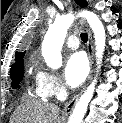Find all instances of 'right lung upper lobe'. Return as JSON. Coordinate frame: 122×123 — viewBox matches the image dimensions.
Instances as JSON below:
<instances>
[{
	"label": "right lung upper lobe",
	"instance_id": "cb5924a9",
	"mask_svg": "<svg viewBox=\"0 0 122 123\" xmlns=\"http://www.w3.org/2000/svg\"><path fill=\"white\" fill-rule=\"evenodd\" d=\"M24 54L25 52H16L15 54L16 63L11 66L12 68L19 66L20 64L23 63Z\"/></svg>",
	"mask_w": 122,
	"mask_h": 123
}]
</instances>
